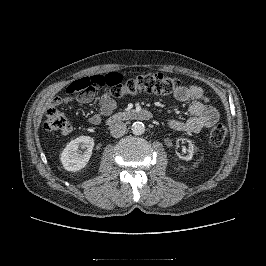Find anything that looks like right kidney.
<instances>
[{
	"label": "right kidney",
	"mask_w": 266,
	"mask_h": 266,
	"mask_svg": "<svg viewBox=\"0 0 266 266\" xmlns=\"http://www.w3.org/2000/svg\"><path fill=\"white\" fill-rule=\"evenodd\" d=\"M94 147V139L89 136H79L67 144L61 153L60 161L65 170L76 172L88 163ZM81 149H86L83 154Z\"/></svg>",
	"instance_id": "right-kidney-1"
}]
</instances>
